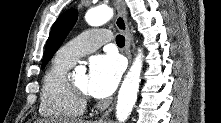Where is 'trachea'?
<instances>
[{
	"mask_svg": "<svg viewBox=\"0 0 221 123\" xmlns=\"http://www.w3.org/2000/svg\"><path fill=\"white\" fill-rule=\"evenodd\" d=\"M116 43H117V45L120 46V47L124 46V45H125V38H124V36L118 35V36L116 37Z\"/></svg>",
	"mask_w": 221,
	"mask_h": 123,
	"instance_id": "trachea-1",
	"label": "trachea"
}]
</instances>
